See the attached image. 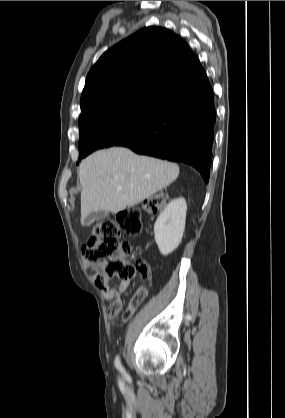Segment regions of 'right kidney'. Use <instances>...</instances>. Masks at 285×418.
<instances>
[{
  "instance_id": "obj_1",
  "label": "right kidney",
  "mask_w": 285,
  "mask_h": 418,
  "mask_svg": "<svg viewBox=\"0 0 285 418\" xmlns=\"http://www.w3.org/2000/svg\"><path fill=\"white\" fill-rule=\"evenodd\" d=\"M186 210L185 199L177 198L158 216L154 224V234L162 255L172 253L180 244L185 229Z\"/></svg>"
}]
</instances>
